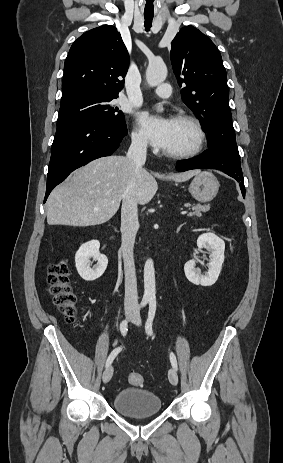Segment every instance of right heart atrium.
Wrapping results in <instances>:
<instances>
[{
    "label": "right heart atrium",
    "instance_id": "d8ad5b80",
    "mask_svg": "<svg viewBox=\"0 0 283 463\" xmlns=\"http://www.w3.org/2000/svg\"><path fill=\"white\" fill-rule=\"evenodd\" d=\"M132 144L138 149H146L147 141L143 133L139 130H134L131 135Z\"/></svg>",
    "mask_w": 283,
    "mask_h": 463
}]
</instances>
